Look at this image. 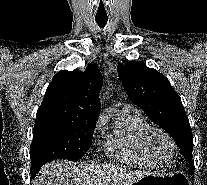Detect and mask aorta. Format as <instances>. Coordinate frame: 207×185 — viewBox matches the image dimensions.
Returning <instances> with one entry per match:
<instances>
[{
	"mask_svg": "<svg viewBox=\"0 0 207 185\" xmlns=\"http://www.w3.org/2000/svg\"><path fill=\"white\" fill-rule=\"evenodd\" d=\"M104 98L108 96V92L106 91L104 94H103Z\"/></svg>",
	"mask_w": 207,
	"mask_h": 185,
	"instance_id": "1",
	"label": "aorta"
}]
</instances>
